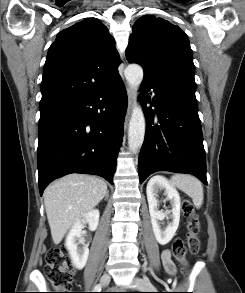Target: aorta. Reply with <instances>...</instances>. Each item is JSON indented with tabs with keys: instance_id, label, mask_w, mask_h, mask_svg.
Segmentation results:
<instances>
[{
	"instance_id": "1",
	"label": "aorta",
	"mask_w": 245,
	"mask_h": 293,
	"mask_svg": "<svg viewBox=\"0 0 245 293\" xmlns=\"http://www.w3.org/2000/svg\"><path fill=\"white\" fill-rule=\"evenodd\" d=\"M129 85L137 92L143 81V69L138 64H130L124 71ZM145 117L141 106L136 102L128 129V145L131 152L136 153L142 146L145 136Z\"/></svg>"
}]
</instances>
